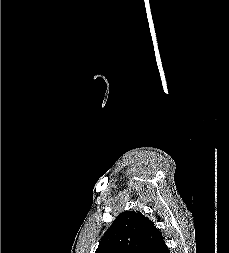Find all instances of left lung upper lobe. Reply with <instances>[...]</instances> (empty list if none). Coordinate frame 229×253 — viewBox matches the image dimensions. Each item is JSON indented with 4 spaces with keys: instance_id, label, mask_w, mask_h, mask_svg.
I'll list each match as a JSON object with an SVG mask.
<instances>
[{
    "instance_id": "obj_1",
    "label": "left lung upper lobe",
    "mask_w": 229,
    "mask_h": 253,
    "mask_svg": "<svg viewBox=\"0 0 229 253\" xmlns=\"http://www.w3.org/2000/svg\"><path fill=\"white\" fill-rule=\"evenodd\" d=\"M164 238L154 223L136 211L119 214L95 253H155Z\"/></svg>"
}]
</instances>
